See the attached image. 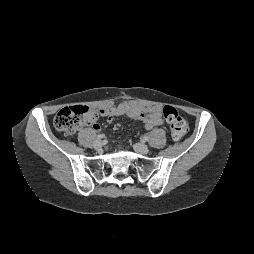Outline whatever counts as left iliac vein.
<instances>
[{
    "label": "left iliac vein",
    "mask_w": 254,
    "mask_h": 254,
    "mask_svg": "<svg viewBox=\"0 0 254 254\" xmlns=\"http://www.w3.org/2000/svg\"><path fill=\"white\" fill-rule=\"evenodd\" d=\"M133 148L136 152L140 154H147L149 152V148L144 143H135Z\"/></svg>",
    "instance_id": "left-iliac-vein-1"
}]
</instances>
